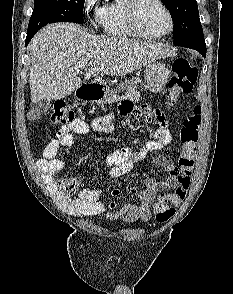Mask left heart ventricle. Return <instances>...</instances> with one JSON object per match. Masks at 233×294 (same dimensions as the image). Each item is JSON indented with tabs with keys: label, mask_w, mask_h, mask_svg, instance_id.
Here are the masks:
<instances>
[{
	"label": "left heart ventricle",
	"mask_w": 233,
	"mask_h": 294,
	"mask_svg": "<svg viewBox=\"0 0 233 294\" xmlns=\"http://www.w3.org/2000/svg\"><path fill=\"white\" fill-rule=\"evenodd\" d=\"M138 21L148 34L157 35L167 30L168 17L164 9L154 0H144L138 10Z\"/></svg>",
	"instance_id": "obj_1"
}]
</instances>
